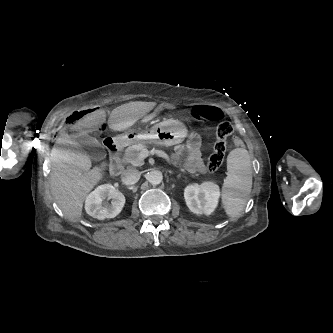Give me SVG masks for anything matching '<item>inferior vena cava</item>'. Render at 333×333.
Instances as JSON below:
<instances>
[{
  "mask_svg": "<svg viewBox=\"0 0 333 333\" xmlns=\"http://www.w3.org/2000/svg\"><path fill=\"white\" fill-rule=\"evenodd\" d=\"M140 179V172L136 168L126 169L121 176V180L125 185H132Z\"/></svg>",
  "mask_w": 333,
  "mask_h": 333,
  "instance_id": "inferior-vena-cava-1",
  "label": "inferior vena cava"
}]
</instances>
